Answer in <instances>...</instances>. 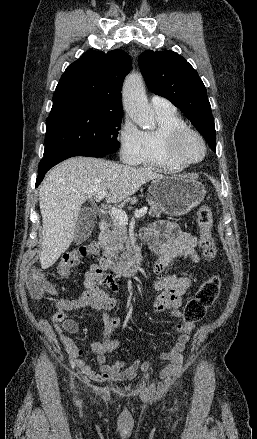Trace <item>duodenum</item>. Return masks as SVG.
I'll return each mask as SVG.
<instances>
[{
    "label": "duodenum",
    "instance_id": "1",
    "mask_svg": "<svg viewBox=\"0 0 257 439\" xmlns=\"http://www.w3.org/2000/svg\"><path fill=\"white\" fill-rule=\"evenodd\" d=\"M108 223L104 220L98 222V240L102 247L106 246ZM143 261L142 250L138 249L134 253L128 255L120 262H114L111 258L103 255L99 261V267L104 270H111L120 276H130L135 274Z\"/></svg>",
    "mask_w": 257,
    "mask_h": 439
}]
</instances>
